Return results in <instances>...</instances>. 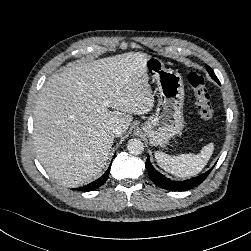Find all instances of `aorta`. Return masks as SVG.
I'll return each mask as SVG.
<instances>
[{"label": "aorta", "instance_id": "aorta-1", "mask_svg": "<svg viewBox=\"0 0 251 251\" xmlns=\"http://www.w3.org/2000/svg\"><path fill=\"white\" fill-rule=\"evenodd\" d=\"M127 150L130 154L139 155L144 151V144L140 139H130L127 144Z\"/></svg>", "mask_w": 251, "mask_h": 251}]
</instances>
